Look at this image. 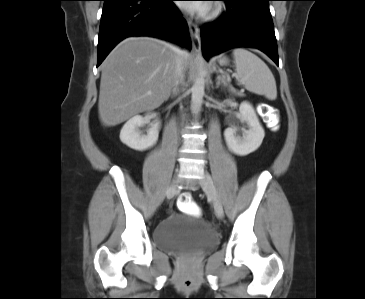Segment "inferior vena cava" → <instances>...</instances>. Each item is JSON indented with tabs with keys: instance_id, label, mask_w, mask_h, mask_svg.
Listing matches in <instances>:
<instances>
[{
	"instance_id": "inferior-vena-cava-1",
	"label": "inferior vena cava",
	"mask_w": 365,
	"mask_h": 299,
	"mask_svg": "<svg viewBox=\"0 0 365 299\" xmlns=\"http://www.w3.org/2000/svg\"><path fill=\"white\" fill-rule=\"evenodd\" d=\"M178 59L176 61V83H179L183 79V72H184V62H183V51L177 49Z\"/></svg>"
}]
</instances>
